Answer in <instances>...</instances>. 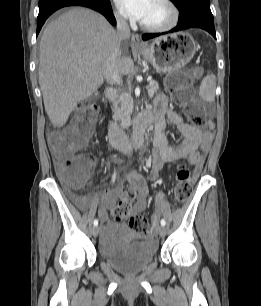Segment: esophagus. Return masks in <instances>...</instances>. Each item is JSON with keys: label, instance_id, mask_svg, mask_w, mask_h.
<instances>
[{"label": "esophagus", "instance_id": "esophagus-1", "mask_svg": "<svg viewBox=\"0 0 261 306\" xmlns=\"http://www.w3.org/2000/svg\"><path fill=\"white\" fill-rule=\"evenodd\" d=\"M131 46L134 49H141L142 48V43L140 42V39L138 35L133 34L131 37Z\"/></svg>", "mask_w": 261, "mask_h": 306}]
</instances>
